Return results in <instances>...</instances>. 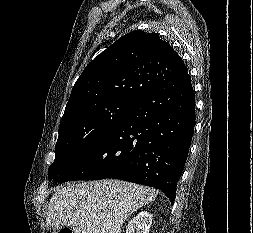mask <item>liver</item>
Listing matches in <instances>:
<instances>
[{
	"label": "liver",
	"instance_id": "6515ba94",
	"mask_svg": "<svg viewBox=\"0 0 253 233\" xmlns=\"http://www.w3.org/2000/svg\"><path fill=\"white\" fill-rule=\"evenodd\" d=\"M156 196L152 188L120 180L68 184L51 197L46 222L74 233H121L130 215Z\"/></svg>",
	"mask_w": 253,
	"mask_h": 233
}]
</instances>
